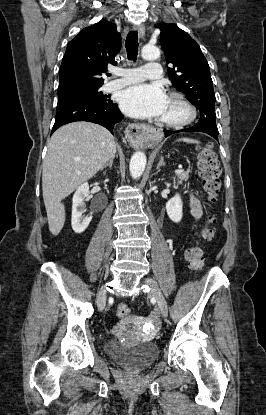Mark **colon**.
I'll return each mask as SVG.
<instances>
[{"label":"colon","mask_w":266,"mask_h":415,"mask_svg":"<svg viewBox=\"0 0 266 415\" xmlns=\"http://www.w3.org/2000/svg\"><path fill=\"white\" fill-rule=\"evenodd\" d=\"M198 170L201 178V184L208 200L213 203L221 190L220 166L210 147L204 146L198 148ZM214 223V216L209 214L205 219V226L201 230V240L208 241L213 237L211 224ZM186 260L189 267L195 271H201L204 267V253L201 247V241H197L186 250ZM131 313L126 304H120L116 310L119 318H127Z\"/></svg>","instance_id":"obj_1"}]
</instances>
